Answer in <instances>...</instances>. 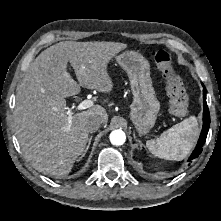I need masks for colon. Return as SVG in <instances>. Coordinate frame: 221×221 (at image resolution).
<instances>
[{"mask_svg":"<svg viewBox=\"0 0 221 221\" xmlns=\"http://www.w3.org/2000/svg\"><path fill=\"white\" fill-rule=\"evenodd\" d=\"M150 56L165 79L171 113L177 116L185 115L188 110V95L178 70L173 66L171 54L156 49L150 53Z\"/></svg>","mask_w":221,"mask_h":221,"instance_id":"obj_1","label":"colon"}]
</instances>
